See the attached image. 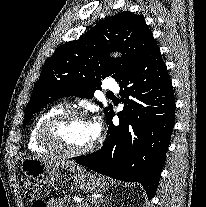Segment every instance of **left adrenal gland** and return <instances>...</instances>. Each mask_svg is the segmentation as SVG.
Segmentation results:
<instances>
[{
    "mask_svg": "<svg viewBox=\"0 0 206 207\" xmlns=\"http://www.w3.org/2000/svg\"><path fill=\"white\" fill-rule=\"evenodd\" d=\"M103 202H105V203H104V206H103V207H105V204H109V199L106 198L105 201H104V200H101V203H103ZM101 203H98V206H97V207H100V204H101Z\"/></svg>",
    "mask_w": 206,
    "mask_h": 207,
    "instance_id": "1",
    "label": "left adrenal gland"
}]
</instances>
